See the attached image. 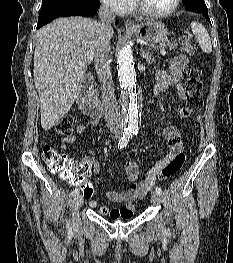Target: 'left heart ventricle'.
Listing matches in <instances>:
<instances>
[{
	"label": "left heart ventricle",
	"mask_w": 233,
	"mask_h": 263,
	"mask_svg": "<svg viewBox=\"0 0 233 263\" xmlns=\"http://www.w3.org/2000/svg\"><path fill=\"white\" fill-rule=\"evenodd\" d=\"M140 2L152 12H163L172 6L174 0H140Z\"/></svg>",
	"instance_id": "obj_1"
}]
</instances>
